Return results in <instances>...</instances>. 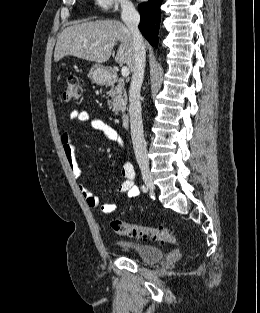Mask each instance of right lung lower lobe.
<instances>
[{"instance_id":"right-lung-lower-lobe-1","label":"right lung lower lobe","mask_w":260,"mask_h":313,"mask_svg":"<svg viewBox=\"0 0 260 313\" xmlns=\"http://www.w3.org/2000/svg\"><path fill=\"white\" fill-rule=\"evenodd\" d=\"M161 4L162 0H149L147 3H141L138 5L141 16L139 29L154 47H157L158 44L157 35L161 19Z\"/></svg>"}]
</instances>
